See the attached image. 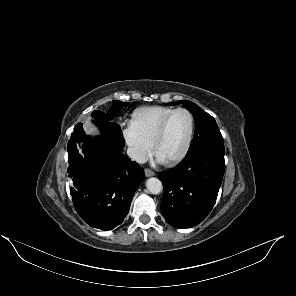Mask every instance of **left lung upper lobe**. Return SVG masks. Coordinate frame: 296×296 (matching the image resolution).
I'll return each mask as SVG.
<instances>
[{
	"label": "left lung upper lobe",
	"mask_w": 296,
	"mask_h": 296,
	"mask_svg": "<svg viewBox=\"0 0 296 296\" xmlns=\"http://www.w3.org/2000/svg\"><path fill=\"white\" fill-rule=\"evenodd\" d=\"M180 103H183V105L193 114L196 124V131L187 155L206 146L223 143V137L215 119L195 103L190 101H179L167 104L176 105Z\"/></svg>",
	"instance_id": "1"
}]
</instances>
